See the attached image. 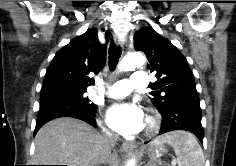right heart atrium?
<instances>
[{"mask_svg":"<svg viewBox=\"0 0 236 166\" xmlns=\"http://www.w3.org/2000/svg\"><path fill=\"white\" fill-rule=\"evenodd\" d=\"M98 123L100 125V127L102 128L103 132L109 136H111L110 131L105 127L103 120L101 118L98 119Z\"/></svg>","mask_w":236,"mask_h":166,"instance_id":"obj_1","label":"right heart atrium"}]
</instances>
